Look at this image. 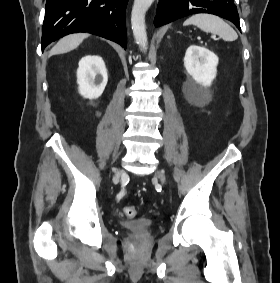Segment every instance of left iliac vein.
<instances>
[{
    "instance_id": "1",
    "label": "left iliac vein",
    "mask_w": 280,
    "mask_h": 283,
    "mask_svg": "<svg viewBox=\"0 0 280 283\" xmlns=\"http://www.w3.org/2000/svg\"><path fill=\"white\" fill-rule=\"evenodd\" d=\"M156 176L160 179V181L165 184V175L162 171H157Z\"/></svg>"
}]
</instances>
